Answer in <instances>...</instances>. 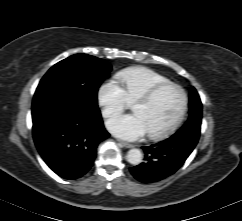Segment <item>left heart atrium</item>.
<instances>
[{"label":"left heart atrium","instance_id":"39dd6f15","mask_svg":"<svg viewBox=\"0 0 242 221\" xmlns=\"http://www.w3.org/2000/svg\"><path fill=\"white\" fill-rule=\"evenodd\" d=\"M106 126L115 136L129 141L141 139L147 134V128L137 114H120L110 118Z\"/></svg>","mask_w":242,"mask_h":221}]
</instances>
